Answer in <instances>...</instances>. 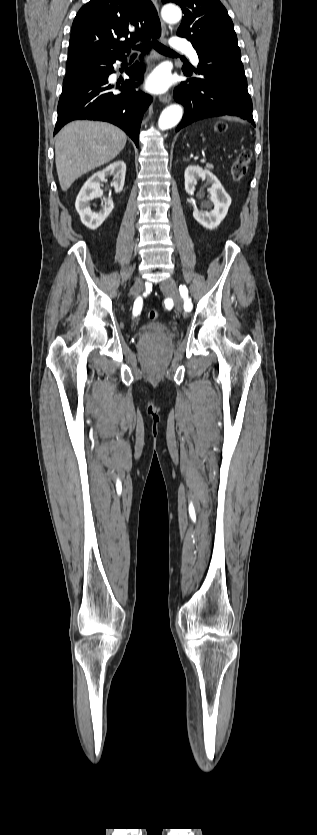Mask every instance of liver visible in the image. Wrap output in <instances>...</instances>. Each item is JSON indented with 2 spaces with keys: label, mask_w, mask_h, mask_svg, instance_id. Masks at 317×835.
<instances>
[{
  "label": "liver",
  "mask_w": 317,
  "mask_h": 835,
  "mask_svg": "<svg viewBox=\"0 0 317 835\" xmlns=\"http://www.w3.org/2000/svg\"><path fill=\"white\" fill-rule=\"evenodd\" d=\"M127 135L106 122L75 121L56 136L55 162L59 183L67 191L88 171L114 159L125 147Z\"/></svg>",
  "instance_id": "1"
}]
</instances>
